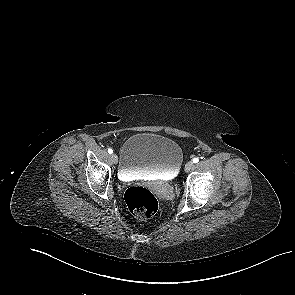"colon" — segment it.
Segmentation results:
<instances>
[{"label": "colon", "instance_id": "5ec220e1", "mask_svg": "<svg viewBox=\"0 0 295 295\" xmlns=\"http://www.w3.org/2000/svg\"><path fill=\"white\" fill-rule=\"evenodd\" d=\"M124 197L127 208L137 219H148L158 211L157 198L146 188L130 187L126 190Z\"/></svg>", "mask_w": 295, "mask_h": 295}]
</instances>
